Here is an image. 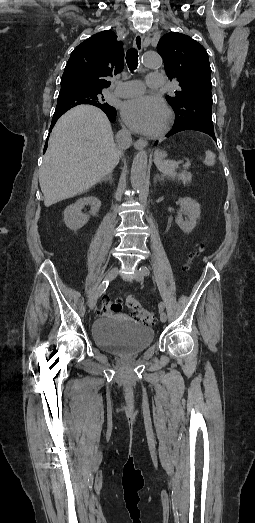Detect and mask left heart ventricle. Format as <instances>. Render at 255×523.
I'll list each match as a JSON object with an SVG mask.
<instances>
[{
    "mask_svg": "<svg viewBox=\"0 0 255 523\" xmlns=\"http://www.w3.org/2000/svg\"><path fill=\"white\" fill-rule=\"evenodd\" d=\"M166 118H167V117H166V115H165L164 120H163L162 127L164 126V124H165V122H166Z\"/></svg>",
    "mask_w": 255,
    "mask_h": 523,
    "instance_id": "1",
    "label": "left heart ventricle"
}]
</instances>
